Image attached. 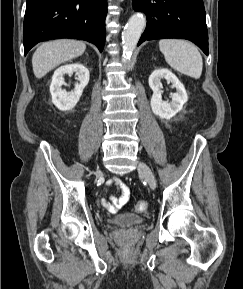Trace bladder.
<instances>
[{
    "instance_id": "bladder-1",
    "label": "bladder",
    "mask_w": 243,
    "mask_h": 289,
    "mask_svg": "<svg viewBox=\"0 0 243 289\" xmlns=\"http://www.w3.org/2000/svg\"><path fill=\"white\" fill-rule=\"evenodd\" d=\"M145 219L132 213L118 214L112 218L111 223L118 227H132L143 224Z\"/></svg>"
}]
</instances>
